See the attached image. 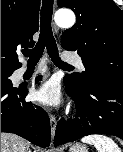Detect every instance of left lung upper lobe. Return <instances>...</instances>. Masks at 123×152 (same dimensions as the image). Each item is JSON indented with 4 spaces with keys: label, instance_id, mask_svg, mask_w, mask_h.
<instances>
[{
    "label": "left lung upper lobe",
    "instance_id": "1",
    "mask_svg": "<svg viewBox=\"0 0 123 152\" xmlns=\"http://www.w3.org/2000/svg\"><path fill=\"white\" fill-rule=\"evenodd\" d=\"M73 10L76 24L62 34V47L76 51L85 71L66 78L80 90L96 80H123V11L113 0H58Z\"/></svg>",
    "mask_w": 123,
    "mask_h": 152
}]
</instances>
